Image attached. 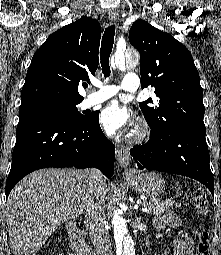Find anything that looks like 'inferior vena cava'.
Instances as JSON below:
<instances>
[{"label":"inferior vena cava","mask_w":221,"mask_h":255,"mask_svg":"<svg viewBox=\"0 0 221 255\" xmlns=\"http://www.w3.org/2000/svg\"><path fill=\"white\" fill-rule=\"evenodd\" d=\"M91 179L94 184L87 197L84 223L89 230L96 254L113 255L109 232L105 228V191L99 186L103 180V175L99 170L91 169Z\"/></svg>","instance_id":"obj_1"}]
</instances>
